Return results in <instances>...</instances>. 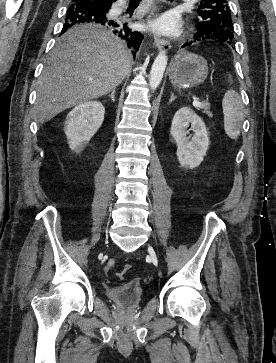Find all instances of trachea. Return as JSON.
Masks as SVG:
<instances>
[{
    "mask_svg": "<svg viewBox=\"0 0 276 363\" xmlns=\"http://www.w3.org/2000/svg\"><path fill=\"white\" fill-rule=\"evenodd\" d=\"M141 0H130V4L132 5H139Z\"/></svg>",
    "mask_w": 276,
    "mask_h": 363,
    "instance_id": "3493384b",
    "label": "trachea"
}]
</instances>
